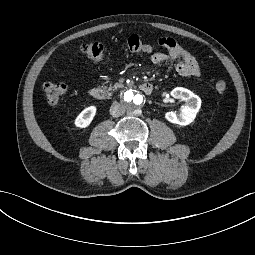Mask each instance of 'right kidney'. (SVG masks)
Masks as SVG:
<instances>
[{
    "label": "right kidney",
    "mask_w": 255,
    "mask_h": 255,
    "mask_svg": "<svg viewBox=\"0 0 255 255\" xmlns=\"http://www.w3.org/2000/svg\"><path fill=\"white\" fill-rule=\"evenodd\" d=\"M97 112L96 106H90L85 108L74 120L76 127L84 129L87 128L93 121Z\"/></svg>",
    "instance_id": "right-kidney-1"
}]
</instances>
